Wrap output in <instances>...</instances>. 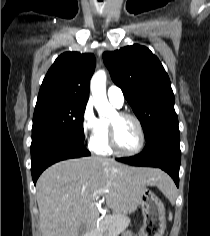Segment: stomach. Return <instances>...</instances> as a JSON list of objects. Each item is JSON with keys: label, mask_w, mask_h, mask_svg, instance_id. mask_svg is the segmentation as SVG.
Wrapping results in <instances>:
<instances>
[{"label": "stomach", "mask_w": 210, "mask_h": 236, "mask_svg": "<svg viewBox=\"0 0 210 236\" xmlns=\"http://www.w3.org/2000/svg\"><path fill=\"white\" fill-rule=\"evenodd\" d=\"M138 200L144 218L139 236H163L166 228L165 209L160 199L145 186Z\"/></svg>", "instance_id": "1"}]
</instances>
